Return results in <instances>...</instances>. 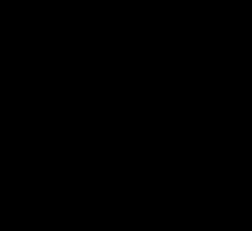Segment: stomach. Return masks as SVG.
Instances as JSON below:
<instances>
[{"label":"stomach","instance_id":"obj_1","mask_svg":"<svg viewBox=\"0 0 252 231\" xmlns=\"http://www.w3.org/2000/svg\"><path fill=\"white\" fill-rule=\"evenodd\" d=\"M160 64L163 70H169L172 68L170 61L164 57H160L156 54H145L141 57V66L148 72L151 71L152 65Z\"/></svg>","mask_w":252,"mask_h":231}]
</instances>
